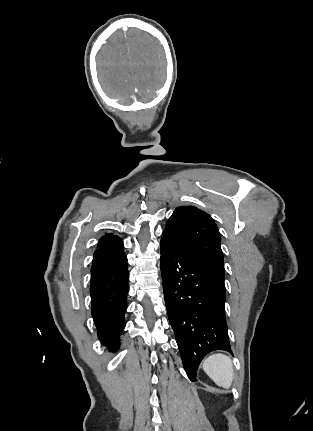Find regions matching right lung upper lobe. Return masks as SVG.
I'll list each match as a JSON object with an SVG mask.
<instances>
[{
	"label": "right lung upper lobe",
	"mask_w": 313,
	"mask_h": 431,
	"mask_svg": "<svg viewBox=\"0 0 313 431\" xmlns=\"http://www.w3.org/2000/svg\"><path fill=\"white\" fill-rule=\"evenodd\" d=\"M115 239H119V237H118V236H112V234H106V235H104V236L99 240L98 248H99V247H101V246H103L104 244H106V243L110 242V241L115 240Z\"/></svg>",
	"instance_id": "cb5924a9"
}]
</instances>
